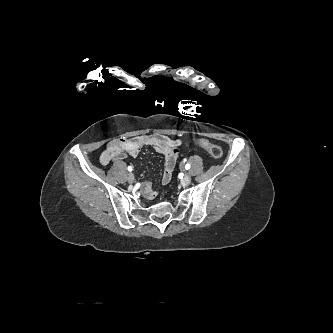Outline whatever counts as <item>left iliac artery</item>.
<instances>
[{
    "instance_id": "1",
    "label": "left iliac artery",
    "mask_w": 333,
    "mask_h": 333,
    "mask_svg": "<svg viewBox=\"0 0 333 333\" xmlns=\"http://www.w3.org/2000/svg\"><path fill=\"white\" fill-rule=\"evenodd\" d=\"M185 169H186V170L190 169V164H189V163H187V164L185 165Z\"/></svg>"
}]
</instances>
